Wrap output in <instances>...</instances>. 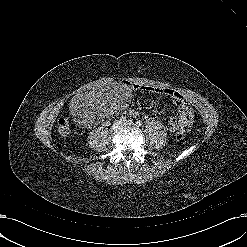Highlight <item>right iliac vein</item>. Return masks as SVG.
Instances as JSON below:
<instances>
[{
	"label": "right iliac vein",
	"instance_id": "right-iliac-vein-1",
	"mask_svg": "<svg viewBox=\"0 0 247 247\" xmlns=\"http://www.w3.org/2000/svg\"><path fill=\"white\" fill-rule=\"evenodd\" d=\"M122 125V122L121 121H116L114 124H113V129L114 130H117L121 127Z\"/></svg>",
	"mask_w": 247,
	"mask_h": 247
}]
</instances>
